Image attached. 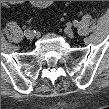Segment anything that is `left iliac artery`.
Listing matches in <instances>:
<instances>
[{
	"instance_id": "44dca946",
	"label": "left iliac artery",
	"mask_w": 109,
	"mask_h": 109,
	"mask_svg": "<svg viewBox=\"0 0 109 109\" xmlns=\"http://www.w3.org/2000/svg\"><path fill=\"white\" fill-rule=\"evenodd\" d=\"M73 25H74L75 27H77V26H78V21H77V20H74V21H73Z\"/></svg>"
}]
</instances>
